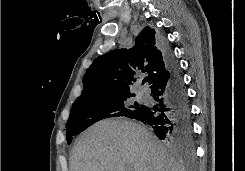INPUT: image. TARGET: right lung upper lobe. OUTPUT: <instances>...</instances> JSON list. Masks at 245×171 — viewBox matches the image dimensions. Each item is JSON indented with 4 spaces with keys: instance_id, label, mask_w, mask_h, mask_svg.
Instances as JSON below:
<instances>
[{
    "instance_id": "obj_1",
    "label": "right lung upper lobe",
    "mask_w": 245,
    "mask_h": 171,
    "mask_svg": "<svg viewBox=\"0 0 245 171\" xmlns=\"http://www.w3.org/2000/svg\"><path fill=\"white\" fill-rule=\"evenodd\" d=\"M146 72L143 83L149 86L168 73L163 51L155 31L146 26L130 49H115L98 56L84 74V88L76 101L97 100L119 94H131L134 75Z\"/></svg>"
}]
</instances>
